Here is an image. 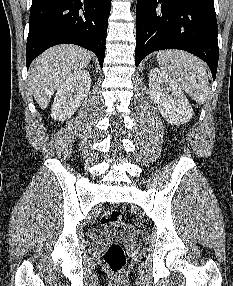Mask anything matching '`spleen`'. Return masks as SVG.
<instances>
[{
    "label": "spleen",
    "mask_w": 233,
    "mask_h": 286,
    "mask_svg": "<svg viewBox=\"0 0 233 286\" xmlns=\"http://www.w3.org/2000/svg\"><path fill=\"white\" fill-rule=\"evenodd\" d=\"M157 63L198 104L206 102L209 82L204 61L186 51L162 50L157 53Z\"/></svg>",
    "instance_id": "obj_1"
}]
</instances>
